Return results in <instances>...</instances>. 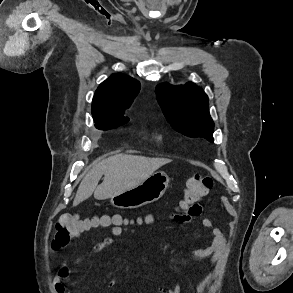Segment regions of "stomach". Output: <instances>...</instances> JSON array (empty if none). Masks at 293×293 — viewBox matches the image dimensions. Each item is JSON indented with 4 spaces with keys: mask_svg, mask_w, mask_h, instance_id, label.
<instances>
[{
    "mask_svg": "<svg viewBox=\"0 0 293 293\" xmlns=\"http://www.w3.org/2000/svg\"><path fill=\"white\" fill-rule=\"evenodd\" d=\"M169 177L156 172L138 186L111 197V204L120 209H133L159 200L167 190Z\"/></svg>",
    "mask_w": 293,
    "mask_h": 293,
    "instance_id": "stomach-1",
    "label": "stomach"
}]
</instances>
